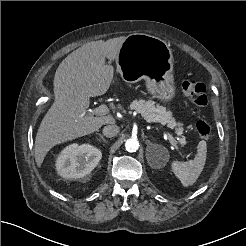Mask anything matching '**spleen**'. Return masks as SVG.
<instances>
[{
  "label": "spleen",
  "mask_w": 246,
  "mask_h": 246,
  "mask_svg": "<svg viewBox=\"0 0 246 246\" xmlns=\"http://www.w3.org/2000/svg\"><path fill=\"white\" fill-rule=\"evenodd\" d=\"M206 153V142L200 141L194 160L189 162L174 161L172 163V170L184 187L193 185L200 176L206 162Z\"/></svg>",
  "instance_id": "obj_1"
}]
</instances>
